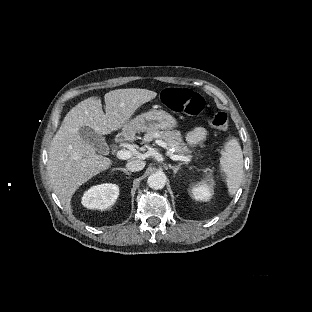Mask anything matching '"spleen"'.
<instances>
[{
    "instance_id": "obj_1",
    "label": "spleen",
    "mask_w": 312,
    "mask_h": 312,
    "mask_svg": "<svg viewBox=\"0 0 312 312\" xmlns=\"http://www.w3.org/2000/svg\"><path fill=\"white\" fill-rule=\"evenodd\" d=\"M220 158L221 170L226 174L228 191L231 195L238 190L243 174V153L236 139L225 143Z\"/></svg>"
}]
</instances>
